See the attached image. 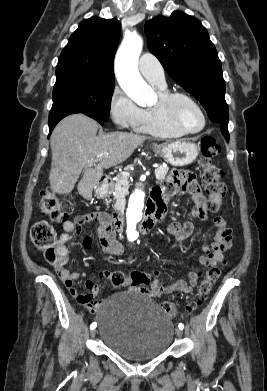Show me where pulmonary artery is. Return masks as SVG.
Returning <instances> with one entry per match:
<instances>
[{
    "mask_svg": "<svg viewBox=\"0 0 267 391\" xmlns=\"http://www.w3.org/2000/svg\"><path fill=\"white\" fill-rule=\"evenodd\" d=\"M138 66L141 74L150 84L157 88L166 87L164 69L160 61L153 54H142Z\"/></svg>",
    "mask_w": 267,
    "mask_h": 391,
    "instance_id": "1",
    "label": "pulmonary artery"
}]
</instances>
